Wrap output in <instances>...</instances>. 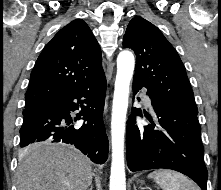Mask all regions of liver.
I'll return each mask as SVG.
<instances>
[{
    "mask_svg": "<svg viewBox=\"0 0 221 190\" xmlns=\"http://www.w3.org/2000/svg\"><path fill=\"white\" fill-rule=\"evenodd\" d=\"M17 190H88L91 162L68 145L36 144L19 156Z\"/></svg>",
    "mask_w": 221,
    "mask_h": 190,
    "instance_id": "1",
    "label": "liver"
}]
</instances>
